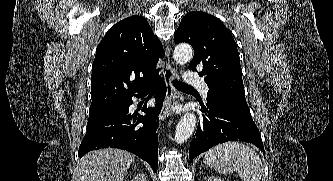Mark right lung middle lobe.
I'll use <instances>...</instances> for the list:
<instances>
[{
    "label": "right lung middle lobe",
    "mask_w": 333,
    "mask_h": 181,
    "mask_svg": "<svg viewBox=\"0 0 333 181\" xmlns=\"http://www.w3.org/2000/svg\"><path fill=\"white\" fill-rule=\"evenodd\" d=\"M117 104L111 105V106H107L104 108H100V109H96V110H89V120H93L105 113H107L108 111H110L114 106H116Z\"/></svg>",
    "instance_id": "dd1d6c3e"
}]
</instances>
